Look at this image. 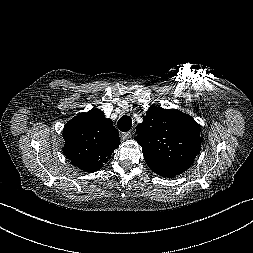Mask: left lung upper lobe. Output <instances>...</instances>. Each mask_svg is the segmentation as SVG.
Masks as SVG:
<instances>
[{"label": "left lung upper lobe", "mask_w": 253, "mask_h": 253, "mask_svg": "<svg viewBox=\"0 0 253 253\" xmlns=\"http://www.w3.org/2000/svg\"><path fill=\"white\" fill-rule=\"evenodd\" d=\"M136 132L148 167L163 177L186 171L201 149L199 124L176 109L150 107Z\"/></svg>", "instance_id": "5c2ea615"}]
</instances>
